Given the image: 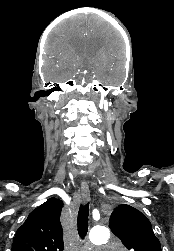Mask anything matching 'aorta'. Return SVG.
Segmentation results:
<instances>
[{"mask_svg": "<svg viewBox=\"0 0 174 251\" xmlns=\"http://www.w3.org/2000/svg\"><path fill=\"white\" fill-rule=\"evenodd\" d=\"M110 238L109 229L105 226L94 227L89 235L90 242L94 245H102L108 242Z\"/></svg>", "mask_w": 174, "mask_h": 251, "instance_id": "1", "label": "aorta"}]
</instances>
